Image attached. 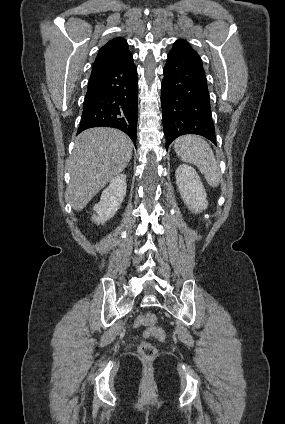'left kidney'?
I'll return each mask as SVG.
<instances>
[{
    "label": "left kidney",
    "instance_id": "1",
    "mask_svg": "<svg viewBox=\"0 0 285 424\" xmlns=\"http://www.w3.org/2000/svg\"><path fill=\"white\" fill-rule=\"evenodd\" d=\"M176 184L184 203L195 213L208 207L207 194L196 170L180 165L176 170Z\"/></svg>",
    "mask_w": 285,
    "mask_h": 424
}]
</instances>
